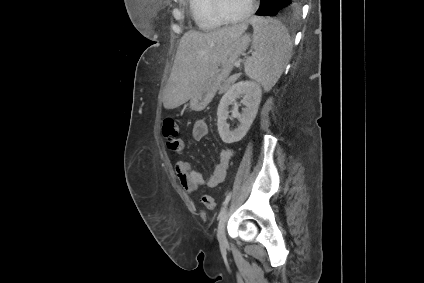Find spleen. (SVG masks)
Masks as SVG:
<instances>
[{"instance_id": "3e777b00", "label": "spleen", "mask_w": 424, "mask_h": 283, "mask_svg": "<svg viewBox=\"0 0 424 283\" xmlns=\"http://www.w3.org/2000/svg\"><path fill=\"white\" fill-rule=\"evenodd\" d=\"M254 29L252 57L244 64L247 77L269 91L286 67L292 50V41L284 25L274 19L252 17Z\"/></svg>"}]
</instances>
